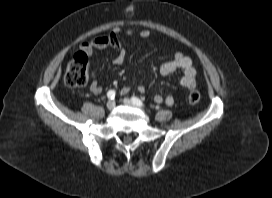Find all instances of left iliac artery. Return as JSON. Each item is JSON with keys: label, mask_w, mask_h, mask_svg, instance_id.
I'll list each match as a JSON object with an SVG mask.
<instances>
[{"label": "left iliac artery", "mask_w": 272, "mask_h": 198, "mask_svg": "<svg viewBox=\"0 0 272 198\" xmlns=\"http://www.w3.org/2000/svg\"><path fill=\"white\" fill-rule=\"evenodd\" d=\"M131 100H132V103L138 107L144 106L143 102L137 97H132Z\"/></svg>", "instance_id": "1"}]
</instances>
